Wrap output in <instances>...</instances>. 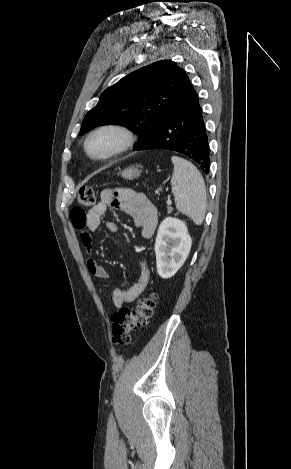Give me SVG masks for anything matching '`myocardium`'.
I'll use <instances>...</instances> for the list:
<instances>
[{
  "mask_svg": "<svg viewBox=\"0 0 291 469\" xmlns=\"http://www.w3.org/2000/svg\"><path fill=\"white\" fill-rule=\"evenodd\" d=\"M102 132L115 133L118 136V143L116 147L109 153L102 155V156H95L90 153L88 145H89L90 140L95 135L102 133ZM134 141H135L134 135L129 128L118 123H107V124H102L94 128L92 131L88 133V135L86 136L84 140L83 148L88 158L95 160V161H107L126 152L134 144Z\"/></svg>",
  "mask_w": 291,
  "mask_h": 469,
  "instance_id": "f54148a6",
  "label": "myocardium"
}]
</instances>
